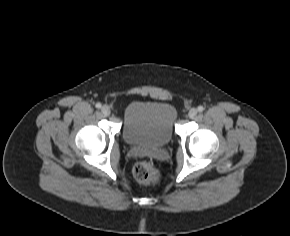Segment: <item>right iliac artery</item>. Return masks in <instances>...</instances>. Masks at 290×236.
Instances as JSON below:
<instances>
[{"mask_svg":"<svg viewBox=\"0 0 290 236\" xmlns=\"http://www.w3.org/2000/svg\"><path fill=\"white\" fill-rule=\"evenodd\" d=\"M96 108H101V104L100 103H96Z\"/></svg>","mask_w":290,"mask_h":236,"instance_id":"right-iliac-artery-1","label":"right iliac artery"}]
</instances>
